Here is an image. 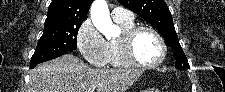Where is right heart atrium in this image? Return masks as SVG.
I'll list each match as a JSON object with an SVG mask.
<instances>
[{
    "mask_svg": "<svg viewBox=\"0 0 225 92\" xmlns=\"http://www.w3.org/2000/svg\"><path fill=\"white\" fill-rule=\"evenodd\" d=\"M78 49L84 59L94 67H105L109 63L107 41L91 19H86L76 35Z\"/></svg>",
    "mask_w": 225,
    "mask_h": 92,
    "instance_id": "right-heart-atrium-1",
    "label": "right heart atrium"
}]
</instances>
